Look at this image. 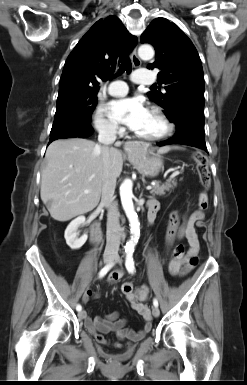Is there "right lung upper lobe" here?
<instances>
[{"mask_svg": "<svg viewBox=\"0 0 247 385\" xmlns=\"http://www.w3.org/2000/svg\"><path fill=\"white\" fill-rule=\"evenodd\" d=\"M137 44L116 16L97 21L68 56L62 72L59 93L95 92L99 82L108 80L125 53Z\"/></svg>", "mask_w": 247, "mask_h": 385, "instance_id": "right-lung-upper-lobe-1", "label": "right lung upper lobe"}]
</instances>
